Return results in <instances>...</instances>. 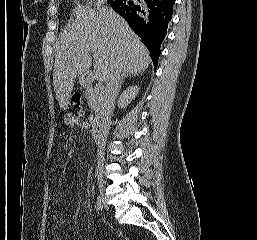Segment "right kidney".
<instances>
[{
	"label": "right kidney",
	"instance_id": "right-kidney-1",
	"mask_svg": "<svg viewBox=\"0 0 257 240\" xmlns=\"http://www.w3.org/2000/svg\"><path fill=\"white\" fill-rule=\"evenodd\" d=\"M139 87L137 85H133L128 87L119 97L118 100V106L120 108H125L128 106V104L130 103V101H132L133 99H135L136 95L139 92Z\"/></svg>",
	"mask_w": 257,
	"mask_h": 240
}]
</instances>
